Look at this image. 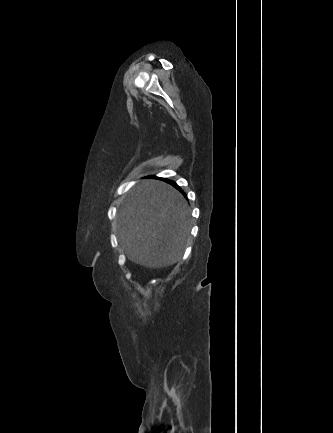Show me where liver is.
Here are the masks:
<instances>
[{"label":"liver","instance_id":"obj_1","mask_svg":"<svg viewBox=\"0 0 333 433\" xmlns=\"http://www.w3.org/2000/svg\"><path fill=\"white\" fill-rule=\"evenodd\" d=\"M189 215L184 197L172 186L156 180L135 186L118 212L117 236L128 259L149 268L178 262L190 232Z\"/></svg>","mask_w":333,"mask_h":433}]
</instances>
